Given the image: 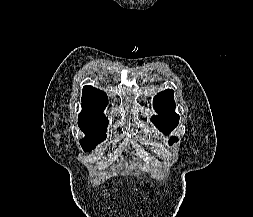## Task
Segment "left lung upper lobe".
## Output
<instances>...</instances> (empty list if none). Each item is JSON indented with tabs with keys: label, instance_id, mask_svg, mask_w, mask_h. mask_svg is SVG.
<instances>
[{
	"label": "left lung upper lobe",
	"instance_id": "1",
	"mask_svg": "<svg viewBox=\"0 0 253 217\" xmlns=\"http://www.w3.org/2000/svg\"><path fill=\"white\" fill-rule=\"evenodd\" d=\"M153 106L158 115L153 116L151 120L153 121L154 125L165 135L169 134L174 128L177 127L180 118L179 115L174 111L175 101L173 90L167 89L156 95ZM177 141V137H172L169 144L172 145V143Z\"/></svg>",
	"mask_w": 253,
	"mask_h": 217
}]
</instances>
